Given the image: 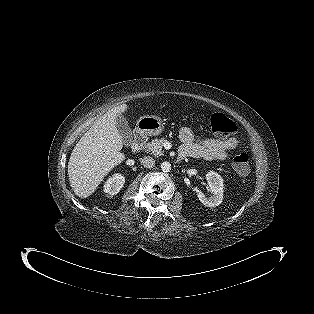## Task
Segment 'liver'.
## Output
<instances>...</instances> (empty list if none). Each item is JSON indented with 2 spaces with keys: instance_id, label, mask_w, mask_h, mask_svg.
Masks as SVG:
<instances>
[{
  "instance_id": "liver-1",
  "label": "liver",
  "mask_w": 314,
  "mask_h": 314,
  "mask_svg": "<svg viewBox=\"0 0 314 314\" xmlns=\"http://www.w3.org/2000/svg\"><path fill=\"white\" fill-rule=\"evenodd\" d=\"M122 104L101 116L74 147L69 162L70 186L80 198L95 192L104 177L125 160L116 118L127 110Z\"/></svg>"
}]
</instances>
